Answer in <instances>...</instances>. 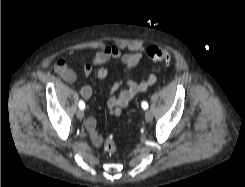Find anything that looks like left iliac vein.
I'll use <instances>...</instances> for the list:
<instances>
[{
  "label": "left iliac vein",
  "mask_w": 245,
  "mask_h": 187,
  "mask_svg": "<svg viewBox=\"0 0 245 187\" xmlns=\"http://www.w3.org/2000/svg\"><path fill=\"white\" fill-rule=\"evenodd\" d=\"M152 118H153L152 112H151L149 109H147V110L145 111V120H146L147 122H150V121L152 120Z\"/></svg>",
  "instance_id": "obj_1"
}]
</instances>
